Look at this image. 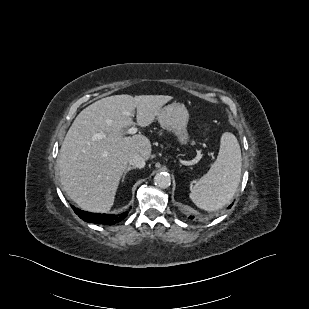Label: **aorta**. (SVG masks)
<instances>
[{"label": "aorta", "mask_w": 309, "mask_h": 309, "mask_svg": "<svg viewBox=\"0 0 309 309\" xmlns=\"http://www.w3.org/2000/svg\"><path fill=\"white\" fill-rule=\"evenodd\" d=\"M154 183L160 188H168L171 184V177L166 172L157 173L154 177Z\"/></svg>", "instance_id": "obj_1"}]
</instances>
